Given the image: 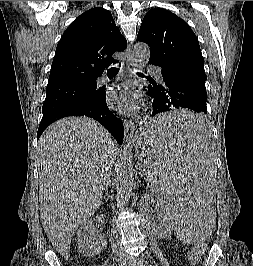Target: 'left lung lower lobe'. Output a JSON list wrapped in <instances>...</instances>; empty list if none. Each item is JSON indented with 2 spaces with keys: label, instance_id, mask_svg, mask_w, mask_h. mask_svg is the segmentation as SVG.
<instances>
[{
  "label": "left lung lower lobe",
  "instance_id": "1",
  "mask_svg": "<svg viewBox=\"0 0 253 266\" xmlns=\"http://www.w3.org/2000/svg\"><path fill=\"white\" fill-rule=\"evenodd\" d=\"M149 64L162 68L163 85L152 83L148 94L153 98L152 116L175 109H191L201 118L192 119L183 125H159L152 127L155 134L202 135L207 130L204 113H207V92L204 70L181 60H149Z\"/></svg>",
  "mask_w": 253,
  "mask_h": 266
}]
</instances>
